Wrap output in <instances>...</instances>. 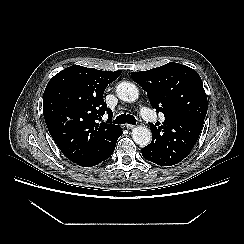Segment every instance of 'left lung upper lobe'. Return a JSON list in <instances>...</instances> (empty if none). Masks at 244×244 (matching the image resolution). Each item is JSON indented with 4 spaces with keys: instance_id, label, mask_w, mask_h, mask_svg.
Listing matches in <instances>:
<instances>
[{
    "instance_id": "5c2ea615",
    "label": "left lung upper lobe",
    "mask_w": 244,
    "mask_h": 244,
    "mask_svg": "<svg viewBox=\"0 0 244 244\" xmlns=\"http://www.w3.org/2000/svg\"><path fill=\"white\" fill-rule=\"evenodd\" d=\"M132 79L147 92L150 104L164 114L163 125L150 124L156 164L172 166L192 151L207 113V96L199 74L170 62L147 71L132 72Z\"/></svg>"
}]
</instances>
